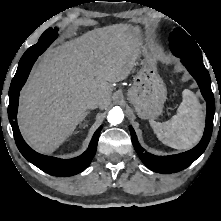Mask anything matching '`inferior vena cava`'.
Listing matches in <instances>:
<instances>
[{"instance_id": "602c4592", "label": "inferior vena cava", "mask_w": 221, "mask_h": 221, "mask_svg": "<svg viewBox=\"0 0 221 221\" xmlns=\"http://www.w3.org/2000/svg\"><path fill=\"white\" fill-rule=\"evenodd\" d=\"M99 103V99L97 97H93L87 101L86 106L88 109H95L99 107Z\"/></svg>"}]
</instances>
